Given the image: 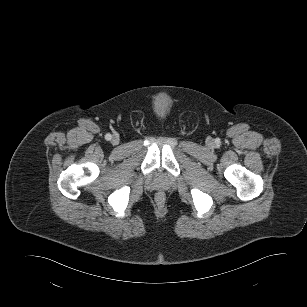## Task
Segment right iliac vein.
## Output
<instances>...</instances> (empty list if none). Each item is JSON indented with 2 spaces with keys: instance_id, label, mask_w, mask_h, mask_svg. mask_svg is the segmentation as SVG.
I'll return each instance as SVG.
<instances>
[{
  "instance_id": "63e3f726",
  "label": "right iliac vein",
  "mask_w": 307,
  "mask_h": 307,
  "mask_svg": "<svg viewBox=\"0 0 307 307\" xmlns=\"http://www.w3.org/2000/svg\"><path fill=\"white\" fill-rule=\"evenodd\" d=\"M112 142H113L114 144H117V143H118V138H117V137H114V138L112 139Z\"/></svg>"
}]
</instances>
